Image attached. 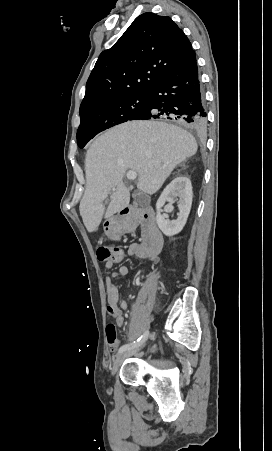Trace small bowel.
I'll use <instances>...</instances> for the list:
<instances>
[{"label": "small bowel", "instance_id": "c3829d8e", "mask_svg": "<svg viewBox=\"0 0 272 451\" xmlns=\"http://www.w3.org/2000/svg\"><path fill=\"white\" fill-rule=\"evenodd\" d=\"M135 246L131 248L134 249ZM123 258V252L119 253L112 259L105 262V268L111 269L114 264L120 262ZM152 264H157L159 262V255L151 256ZM130 275L129 268L125 265L120 266L117 270L108 274L105 278L106 292H107V312L115 320L116 325L120 328L124 327L125 319L123 316V311L128 309V304L126 301H120L119 289L115 284L116 280H122Z\"/></svg>", "mask_w": 272, "mask_h": 451}]
</instances>
